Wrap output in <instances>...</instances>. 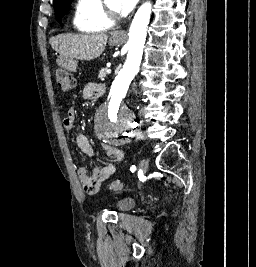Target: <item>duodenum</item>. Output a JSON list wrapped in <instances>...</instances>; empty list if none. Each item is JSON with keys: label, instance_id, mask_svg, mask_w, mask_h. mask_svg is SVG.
<instances>
[{"label": "duodenum", "instance_id": "410a0bca", "mask_svg": "<svg viewBox=\"0 0 256 267\" xmlns=\"http://www.w3.org/2000/svg\"><path fill=\"white\" fill-rule=\"evenodd\" d=\"M63 71H65V72L75 71V66H63ZM96 86L97 87H104L105 83L104 82H97Z\"/></svg>", "mask_w": 256, "mask_h": 267}]
</instances>
